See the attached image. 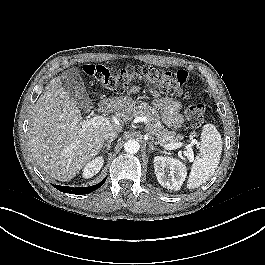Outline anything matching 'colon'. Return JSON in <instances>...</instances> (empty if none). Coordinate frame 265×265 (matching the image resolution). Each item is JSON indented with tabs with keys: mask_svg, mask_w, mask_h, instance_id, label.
Returning <instances> with one entry per match:
<instances>
[{
	"mask_svg": "<svg viewBox=\"0 0 265 265\" xmlns=\"http://www.w3.org/2000/svg\"><path fill=\"white\" fill-rule=\"evenodd\" d=\"M83 72L114 93L124 92L134 82H144L155 85L164 93L188 98V85L192 83L184 70L167 71L147 65L128 66L115 71L101 64H85ZM205 111L202 103L191 102L186 110L187 120L193 126H200Z\"/></svg>",
	"mask_w": 265,
	"mask_h": 265,
	"instance_id": "obj_1",
	"label": "colon"
}]
</instances>
